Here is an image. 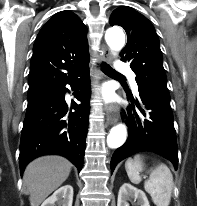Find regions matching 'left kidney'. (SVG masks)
Listing matches in <instances>:
<instances>
[{"mask_svg":"<svg viewBox=\"0 0 197 206\" xmlns=\"http://www.w3.org/2000/svg\"><path fill=\"white\" fill-rule=\"evenodd\" d=\"M133 198L139 206H150L145 193L129 183H124L120 187L117 206H129L127 201Z\"/></svg>","mask_w":197,"mask_h":206,"instance_id":"left-kidney-1","label":"left kidney"}]
</instances>
